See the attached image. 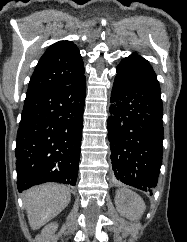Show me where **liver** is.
I'll list each match as a JSON object with an SVG mask.
<instances>
[{
	"label": "liver",
	"mask_w": 187,
	"mask_h": 242,
	"mask_svg": "<svg viewBox=\"0 0 187 242\" xmlns=\"http://www.w3.org/2000/svg\"><path fill=\"white\" fill-rule=\"evenodd\" d=\"M70 199L69 189L60 184L48 183L28 190L24 204L30 227L36 230L45 225L65 209Z\"/></svg>",
	"instance_id": "6515ba94"
}]
</instances>
